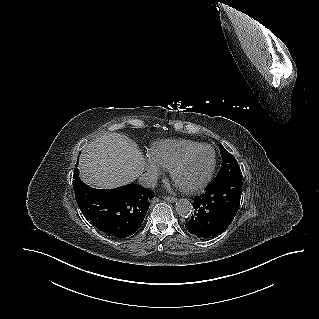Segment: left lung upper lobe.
<instances>
[{"label":"left lung upper lobe","mask_w":319,"mask_h":319,"mask_svg":"<svg viewBox=\"0 0 319 319\" xmlns=\"http://www.w3.org/2000/svg\"><path fill=\"white\" fill-rule=\"evenodd\" d=\"M219 150L223 162L217 176L211 183H216L229 176H242L240 167L234 156L229 153L221 144H219Z\"/></svg>","instance_id":"obj_1"}]
</instances>
